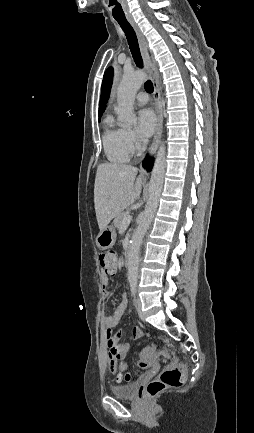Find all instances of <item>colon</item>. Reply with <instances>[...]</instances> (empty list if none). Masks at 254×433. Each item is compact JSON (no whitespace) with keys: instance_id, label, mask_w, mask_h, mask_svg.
<instances>
[{"instance_id":"1","label":"colon","mask_w":254,"mask_h":433,"mask_svg":"<svg viewBox=\"0 0 254 433\" xmlns=\"http://www.w3.org/2000/svg\"><path fill=\"white\" fill-rule=\"evenodd\" d=\"M99 262L108 276H113L116 273V252L108 250L99 254ZM154 361V357L150 351H145L141 354L139 359V366L141 368L148 367ZM130 375H125L124 379L129 381ZM185 381V367L182 364L172 365L166 368L157 378L148 384L146 392L150 396H156L165 389L179 388Z\"/></svg>"}]
</instances>
